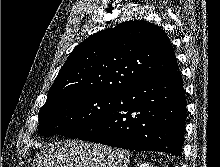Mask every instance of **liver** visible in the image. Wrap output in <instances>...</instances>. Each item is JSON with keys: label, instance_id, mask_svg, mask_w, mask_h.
<instances>
[{"label": "liver", "instance_id": "obj_1", "mask_svg": "<svg viewBox=\"0 0 220 167\" xmlns=\"http://www.w3.org/2000/svg\"><path fill=\"white\" fill-rule=\"evenodd\" d=\"M129 152L76 140L43 146L32 167H128Z\"/></svg>", "mask_w": 220, "mask_h": 167}]
</instances>
